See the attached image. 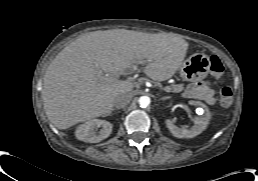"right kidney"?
Returning a JSON list of instances; mask_svg holds the SVG:
<instances>
[{
  "mask_svg": "<svg viewBox=\"0 0 258 181\" xmlns=\"http://www.w3.org/2000/svg\"><path fill=\"white\" fill-rule=\"evenodd\" d=\"M101 128L99 131L98 129ZM112 132V124L105 120L92 119L80 124L75 136L78 140L90 143H98L107 138Z\"/></svg>",
  "mask_w": 258,
  "mask_h": 181,
  "instance_id": "1",
  "label": "right kidney"
}]
</instances>
